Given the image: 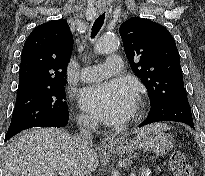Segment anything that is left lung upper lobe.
I'll return each mask as SVG.
<instances>
[{"instance_id": "1", "label": "left lung upper lobe", "mask_w": 205, "mask_h": 176, "mask_svg": "<svg viewBox=\"0 0 205 176\" xmlns=\"http://www.w3.org/2000/svg\"><path fill=\"white\" fill-rule=\"evenodd\" d=\"M119 33L130 66L148 91L151 107L186 93L179 53L164 26L132 17L120 26Z\"/></svg>"}]
</instances>
